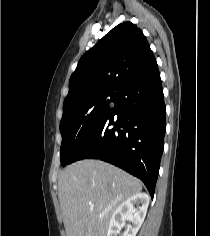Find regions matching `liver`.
I'll list each match as a JSON object with an SVG mask.
<instances>
[{"instance_id":"liver-1","label":"liver","mask_w":210,"mask_h":236,"mask_svg":"<svg viewBox=\"0 0 210 236\" xmlns=\"http://www.w3.org/2000/svg\"><path fill=\"white\" fill-rule=\"evenodd\" d=\"M141 191L138 179L109 163L85 159L69 165L58 179L66 235L106 236L115 210Z\"/></svg>"}]
</instances>
